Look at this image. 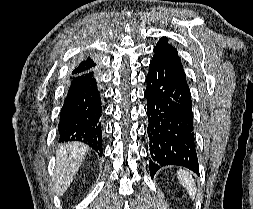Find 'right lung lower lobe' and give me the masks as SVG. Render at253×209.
Listing matches in <instances>:
<instances>
[{
  "mask_svg": "<svg viewBox=\"0 0 253 209\" xmlns=\"http://www.w3.org/2000/svg\"><path fill=\"white\" fill-rule=\"evenodd\" d=\"M101 96L92 70L71 78L59 124L58 141H80L102 156Z\"/></svg>",
  "mask_w": 253,
  "mask_h": 209,
  "instance_id": "right-lung-lower-lobe-1",
  "label": "right lung lower lobe"
}]
</instances>
